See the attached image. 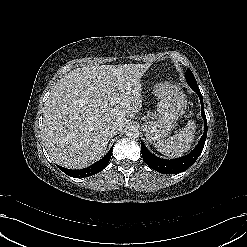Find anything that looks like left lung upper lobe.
Returning a JSON list of instances; mask_svg holds the SVG:
<instances>
[{"label":"left lung upper lobe","mask_w":247,"mask_h":247,"mask_svg":"<svg viewBox=\"0 0 247 247\" xmlns=\"http://www.w3.org/2000/svg\"><path fill=\"white\" fill-rule=\"evenodd\" d=\"M185 77L187 79V83L188 84H197L196 79H195L193 73L188 68H187V71L185 73Z\"/></svg>","instance_id":"1"}]
</instances>
